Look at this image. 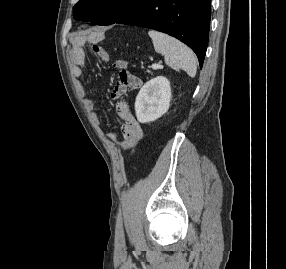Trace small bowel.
<instances>
[{
    "mask_svg": "<svg viewBox=\"0 0 286 269\" xmlns=\"http://www.w3.org/2000/svg\"><path fill=\"white\" fill-rule=\"evenodd\" d=\"M73 46L70 52V58L72 62V70L75 77H81L86 69V60H85V53L83 49V43L79 40H73ZM102 48V47H101ZM93 49V48H92ZM93 52L104 62L110 61V55L107 51L102 48L101 52H97L93 49ZM117 65V62L114 63V66ZM137 78V77H136ZM119 82V81H118ZM135 89V88H133ZM126 88L123 90H119V88H113L111 95L114 98L120 96ZM87 108L91 112L92 119L95 124H99V118L97 113L95 112V103L94 97L91 96L87 99ZM116 112L118 118L121 122V134L124 138V141L119 143L121 148H131L132 155L135 156V148L136 145L141 141L143 137V129L140 123L135 119L132 114L130 105L125 101H120L116 104ZM109 138L116 142L117 134L110 133Z\"/></svg>",
    "mask_w": 286,
    "mask_h": 269,
    "instance_id": "1",
    "label": "small bowel"
}]
</instances>
